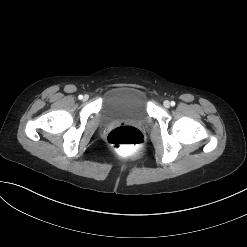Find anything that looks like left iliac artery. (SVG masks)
<instances>
[{
  "instance_id": "1",
  "label": "left iliac artery",
  "mask_w": 247,
  "mask_h": 247,
  "mask_svg": "<svg viewBox=\"0 0 247 247\" xmlns=\"http://www.w3.org/2000/svg\"><path fill=\"white\" fill-rule=\"evenodd\" d=\"M171 106H175V102L174 101H171Z\"/></svg>"
}]
</instances>
